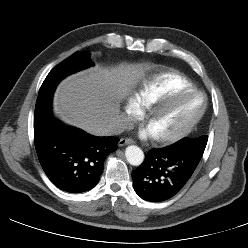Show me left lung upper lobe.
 <instances>
[{"mask_svg":"<svg viewBox=\"0 0 248 248\" xmlns=\"http://www.w3.org/2000/svg\"><path fill=\"white\" fill-rule=\"evenodd\" d=\"M208 141V136H200L198 138H183L179 141H177L175 144L177 145H187V146H191L194 148H198L201 150H205L206 144Z\"/></svg>","mask_w":248,"mask_h":248,"instance_id":"5c2ea615","label":"left lung upper lobe"}]
</instances>
